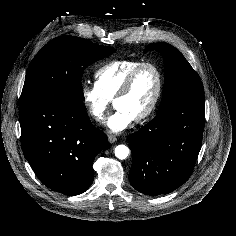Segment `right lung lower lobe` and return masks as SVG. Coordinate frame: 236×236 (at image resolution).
Segmentation results:
<instances>
[{"mask_svg":"<svg viewBox=\"0 0 236 236\" xmlns=\"http://www.w3.org/2000/svg\"><path fill=\"white\" fill-rule=\"evenodd\" d=\"M19 118L22 150L38 179L69 196L87 190L94 158L108 139L91 124L85 106L36 97L20 103Z\"/></svg>","mask_w":236,"mask_h":236,"instance_id":"obj_1","label":"right lung lower lobe"}]
</instances>
